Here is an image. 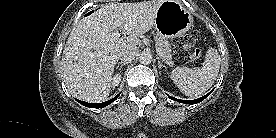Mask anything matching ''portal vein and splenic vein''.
I'll list each match as a JSON object with an SVG mask.
<instances>
[{
	"label": "portal vein and splenic vein",
	"instance_id": "obj_1",
	"mask_svg": "<svg viewBox=\"0 0 276 138\" xmlns=\"http://www.w3.org/2000/svg\"><path fill=\"white\" fill-rule=\"evenodd\" d=\"M118 27H120V24L118 23L117 25ZM120 31V30H119ZM118 30H116L114 33H113V37L114 38H119L120 37V32ZM156 52L157 54L160 56V57H163V53H162V50L157 48L156 47Z\"/></svg>",
	"mask_w": 276,
	"mask_h": 138
}]
</instances>
